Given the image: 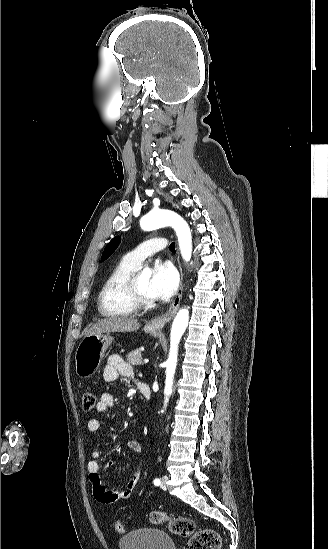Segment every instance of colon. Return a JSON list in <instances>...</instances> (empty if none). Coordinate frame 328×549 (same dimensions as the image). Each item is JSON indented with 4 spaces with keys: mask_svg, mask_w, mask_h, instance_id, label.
<instances>
[{
    "mask_svg": "<svg viewBox=\"0 0 328 549\" xmlns=\"http://www.w3.org/2000/svg\"><path fill=\"white\" fill-rule=\"evenodd\" d=\"M96 404L95 395L92 392H84L82 395V407L84 411H91ZM153 524H167L171 533L179 537H190L184 549H219L221 540L219 534L212 529L195 531V523L185 516L170 515L164 511H153L150 514ZM115 532L124 531L123 524L116 520L113 524Z\"/></svg>",
    "mask_w": 328,
    "mask_h": 549,
    "instance_id": "5ec220e1",
    "label": "colon"
}]
</instances>
